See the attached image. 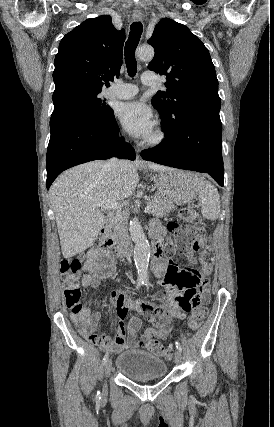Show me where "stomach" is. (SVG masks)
Segmentation results:
<instances>
[{
	"mask_svg": "<svg viewBox=\"0 0 274 427\" xmlns=\"http://www.w3.org/2000/svg\"><path fill=\"white\" fill-rule=\"evenodd\" d=\"M199 180L201 178L198 174H189V172H181L174 168L155 174L152 178V182L157 188H160L163 196L177 206H182L192 200Z\"/></svg>",
	"mask_w": 274,
	"mask_h": 427,
	"instance_id": "0dacf381",
	"label": "stomach"
}]
</instances>
